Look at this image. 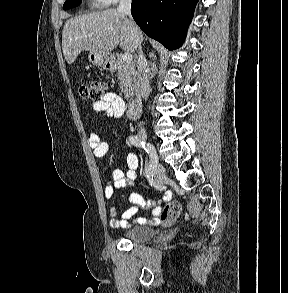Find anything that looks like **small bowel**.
<instances>
[{"label": "small bowel", "mask_w": 288, "mask_h": 293, "mask_svg": "<svg viewBox=\"0 0 288 293\" xmlns=\"http://www.w3.org/2000/svg\"><path fill=\"white\" fill-rule=\"evenodd\" d=\"M93 109L96 112H102L108 118H118L126 112V104L122 97L115 92H107L103 99L93 103ZM129 117L135 118L130 110H127ZM89 146L91 147L93 154L97 158L106 156L110 150V143L104 140L97 132H93L88 138ZM127 170L124 172L120 169H115L112 172L111 180H109L104 187L105 197L111 199L118 189L126 187L137 177V170L139 166L138 157L134 153H129L126 157ZM169 194L164 196V200H169ZM130 202L133 204L128 208L120 218H116L117 207L112 204L108 208V212L111 216L110 226L113 228L128 227L130 226V219L137 213L138 207H152V223H158V216L161 212V202L148 201L145 202L143 197L137 193H133L130 196ZM137 223L144 224L146 219L138 217L135 219Z\"/></svg>", "instance_id": "small-bowel-1"}]
</instances>
